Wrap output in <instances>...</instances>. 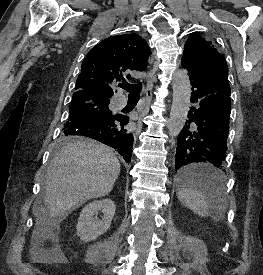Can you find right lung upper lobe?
Segmentation results:
<instances>
[{"instance_id": "right-lung-upper-lobe-1", "label": "right lung upper lobe", "mask_w": 263, "mask_h": 275, "mask_svg": "<svg viewBox=\"0 0 263 275\" xmlns=\"http://www.w3.org/2000/svg\"><path fill=\"white\" fill-rule=\"evenodd\" d=\"M150 54L146 41L136 34L116 35L102 40L83 60L73 96L94 94L111 98V87L124 79L122 73L145 70ZM127 78L130 79V74Z\"/></svg>"}]
</instances>
